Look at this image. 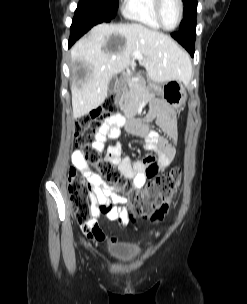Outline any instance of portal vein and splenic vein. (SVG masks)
<instances>
[{
    "label": "portal vein and splenic vein",
    "instance_id": "18ae733b",
    "mask_svg": "<svg viewBox=\"0 0 247 304\" xmlns=\"http://www.w3.org/2000/svg\"><path fill=\"white\" fill-rule=\"evenodd\" d=\"M132 57H135L136 59H139V60H142L143 59V55L138 52V51H135L133 54H132Z\"/></svg>",
    "mask_w": 247,
    "mask_h": 304
}]
</instances>
